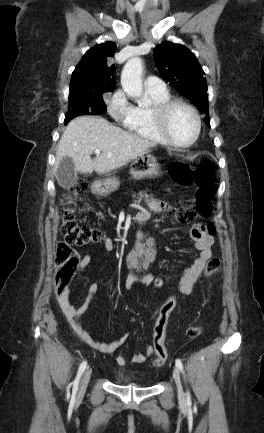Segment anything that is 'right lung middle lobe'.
I'll return each instance as SVG.
<instances>
[{"label":"right lung middle lobe","mask_w":264,"mask_h":433,"mask_svg":"<svg viewBox=\"0 0 264 433\" xmlns=\"http://www.w3.org/2000/svg\"><path fill=\"white\" fill-rule=\"evenodd\" d=\"M102 94L69 98V110L65 117V125L74 117L84 114L97 115L106 112V105L102 100Z\"/></svg>","instance_id":"1"}]
</instances>
